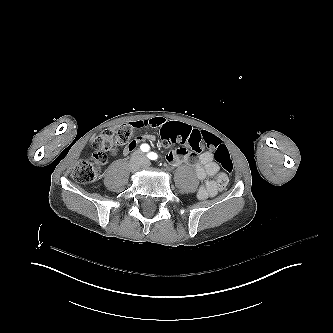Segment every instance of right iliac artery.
I'll use <instances>...</instances> for the list:
<instances>
[{
    "label": "right iliac artery",
    "instance_id": "82829eb1",
    "mask_svg": "<svg viewBox=\"0 0 333 333\" xmlns=\"http://www.w3.org/2000/svg\"><path fill=\"white\" fill-rule=\"evenodd\" d=\"M140 148H141V150H142L143 152H148L149 149H150V147H149L148 144H142ZM148 155H149V154H148Z\"/></svg>",
    "mask_w": 333,
    "mask_h": 333
}]
</instances>
